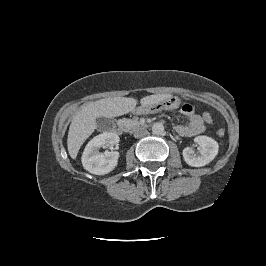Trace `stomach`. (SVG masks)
I'll return each instance as SVG.
<instances>
[{
  "label": "stomach",
  "mask_w": 266,
  "mask_h": 266,
  "mask_svg": "<svg viewBox=\"0 0 266 266\" xmlns=\"http://www.w3.org/2000/svg\"><path fill=\"white\" fill-rule=\"evenodd\" d=\"M166 103H170L171 106H173V103H174L173 98H167L161 102H157V103L146 105V106L142 105L141 108L145 113H156L163 109H166L167 108V106L165 105Z\"/></svg>",
  "instance_id": "stomach-1"
}]
</instances>
